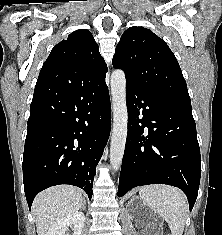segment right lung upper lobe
<instances>
[{
	"label": "right lung upper lobe",
	"mask_w": 222,
	"mask_h": 235,
	"mask_svg": "<svg viewBox=\"0 0 222 235\" xmlns=\"http://www.w3.org/2000/svg\"><path fill=\"white\" fill-rule=\"evenodd\" d=\"M106 72V64L94 37L89 30L79 29L54 46L42 66L35 88L39 86L71 88L93 82L105 76ZM49 118L50 116L38 109L34 103L28 124Z\"/></svg>",
	"instance_id": "1"
}]
</instances>
